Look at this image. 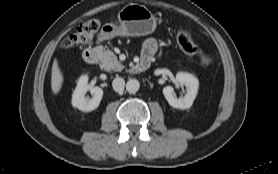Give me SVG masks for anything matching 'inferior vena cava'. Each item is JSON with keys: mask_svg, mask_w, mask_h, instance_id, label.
<instances>
[{"mask_svg": "<svg viewBox=\"0 0 278 174\" xmlns=\"http://www.w3.org/2000/svg\"><path fill=\"white\" fill-rule=\"evenodd\" d=\"M112 86L116 92H122L125 87V81L121 77H116L112 82Z\"/></svg>", "mask_w": 278, "mask_h": 174, "instance_id": "1", "label": "inferior vena cava"}]
</instances>
